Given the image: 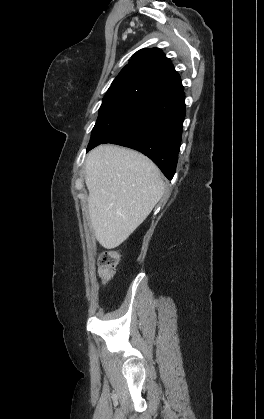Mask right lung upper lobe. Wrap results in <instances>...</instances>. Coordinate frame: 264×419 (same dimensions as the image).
Returning <instances> with one entry per match:
<instances>
[{
	"label": "right lung upper lobe",
	"instance_id": "cb5924a9",
	"mask_svg": "<svg viewBox=\"0 0 264 419\" xmlns=\"http://www.w3.org/2000/svg\"><path fill=\"white\" fill-rule=\"evenodd\" d=\"M118 86L148 93L152 98L183 90L180 76L159 48L136 52L111 84Z\"/></svg>",
	"mask_w": 264,
	"mask_h": 419
}]
</instances>
